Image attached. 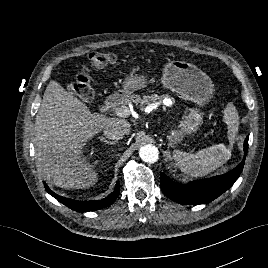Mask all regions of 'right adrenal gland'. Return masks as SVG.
Here are the masks:
<instances>
[{
	"label": "right adrenal gland",
	"instance_id": "obj_1",
	"mask_svg": "<svg viewBox=\"0 0 268 268\" xmlns=\"http://www.w3.org/2000/svg\"><path fill=\"white\" fill-rule=\"evenodd\" d=\"M99 139H100V141H102V142H104L106 144L112 145V146H114L116 144V141H108L104 137H99Z\"/></svg>",
	"mask_w": 268,
	"mask_h": 268
}]
</instances>
